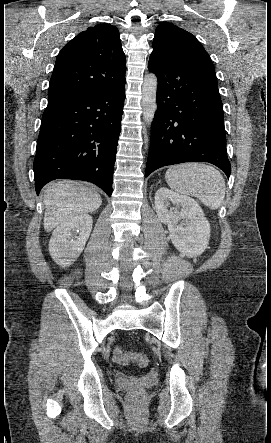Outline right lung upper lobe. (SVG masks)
<instances>
[{"instance_id": "cb5924a9", "label": "right lung upper lobe", "mask_w": 271, "mask_h": 443, "mask_svg": "<svg viewBox=\"0 0 271 443\" xmlns=\"http://www.w3.org/2000/svg\"><path fill=\"white\" fill-rule=\"evenodd\" d=\"M125 55L119 31L110 24L89 27L68 42L57 56L48 101L126 82Z\"/></svg>"}]
</instances>
